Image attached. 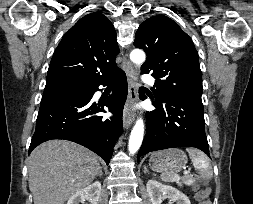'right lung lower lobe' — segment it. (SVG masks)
Returning a JSON list of instances; mask_svg holds the SVG:
<instances>
[{"instance_id": "right-lung-lower-lobe-1", "label": "right lung lower lobe", "mask_w": 253, "mask_h": 204, "mask_svg": "<svg viewBox=\"0 0 253 204\" xmlns=\"http://www.w3.org/2000/svg\"><path fill=\"white\" fill-rule=\"evenodd\" d=\"M107 84L113 85V92L104 105L113 113V117L103 119L96 114L106 111L92 97L99 90V85ZM89 88V93L84 95L41 100L29 154L45 141L65 139L87 147L109 164L115 141L123 129L122 111L128 92L126 75L119 70Z\"/></svg>"}]
</instances>
